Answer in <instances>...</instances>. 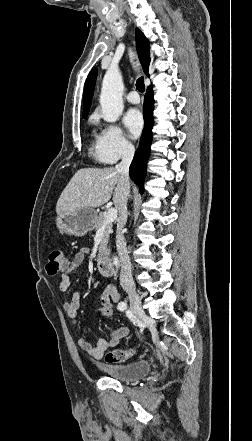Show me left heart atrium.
Instances as JSON below:
<instances>
[{
  "label": "left heart atrium",
  "instance_id": "obj_1",
  "mask_svg": "<svg viewBox=\"0 0 252 441\" xmlns=\"http://www.w3.org/2000/svg\"><path fill=\"white\" fill-rule=\"evenodd\" d=\"M124 124L128 129L131 137L135 138L141 133L143 129V117L138 110L132 109L128 111L125 115Z\"/></svg>",
  "mask_w": 252,
  "mask_h": 441
}]
</instances>
